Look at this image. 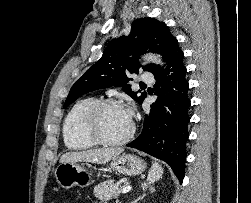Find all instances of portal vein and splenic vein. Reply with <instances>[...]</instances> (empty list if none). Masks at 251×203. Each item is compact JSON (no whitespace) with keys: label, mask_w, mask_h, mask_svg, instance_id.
Listing matches in <instances>:
<instances>
[{"label":"portal vein and splenic vein","mask_w":251,"mask_h":203,"mask_svg":"<svg viewBox=\"0 0 251 203\" xmlns=\"http://www.w3.org/2000/svg\"><path fill=\"white\" fill-rule=\"evenodd\" d=\"M131 189L132 187L130 185H126L123 187L122 193H128Z\"/></svg>","instance_id":"18ae733b"}]
</instances>
